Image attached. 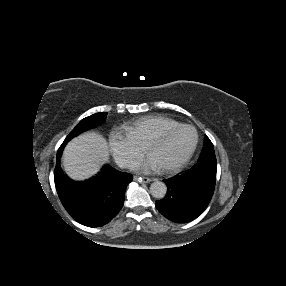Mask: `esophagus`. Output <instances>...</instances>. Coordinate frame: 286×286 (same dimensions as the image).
Instances as JSON below:
<instances>
[{
  "label": "esophagus",
  "instance_id": "esophagus-1",
  "mask_svg": "<svg viewBox=\"0 0 286 286\" xmlns=\"http://www.w3.org/2000/svg\"><path fill=\"white\" fill-rule=\"evenodd\" d=\"M134 180L141 182V183H149L152 181L149 177H134Z\"/></svg>",
  "mask_w": 286,
  "mask_h": 286
}]
</instances>
